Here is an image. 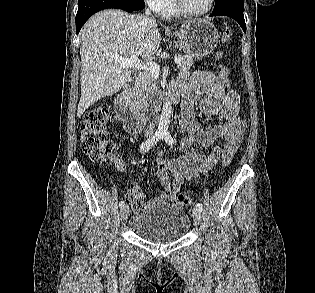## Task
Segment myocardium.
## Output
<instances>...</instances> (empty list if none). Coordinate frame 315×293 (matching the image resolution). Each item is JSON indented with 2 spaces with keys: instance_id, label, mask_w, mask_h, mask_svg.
<instances>
[{
  "instance_id": "myocardium-1",
  "label": "myocardium",
  "mask_w": 315,
  "mask_h": 293,
  "mask_svg": "<svg viewBox=\"0 0 315 293\" xmlns=\"http://www.w3.org/2000/svg\"><path fill=\"white\" fill-rule=\"evenodd\" d=\"M173 2H174V6L176 10L180 14L189 16V17H200V16L206 15L207 13L211 11V9L214 6L215 0H209L208 6L204 10L199 11V12H193V11L188 10L184 4V0H173Z\"/></svg>"
}]
</instances>
